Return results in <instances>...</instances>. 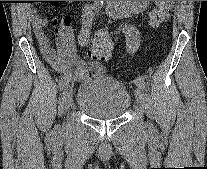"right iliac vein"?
I'll return each mask as SVG.
<instances>
[{
  "label": "right iliac vein",
  "mask_w": 207,
  "mask_h": 169,
  "mask_svg": "<svg viewBox=\"0 0 207 169\" xmlns=\"http://www.w3.org/2000/svg\"><path fill=\"white\" fill-rule=\"evenodd\" d=\"M73 99V88L71 85L67 84L64 89V102L66 109H69L72 104Z\"/></svg>",
  "instance_id": "obj_1"
}]
</instances>
